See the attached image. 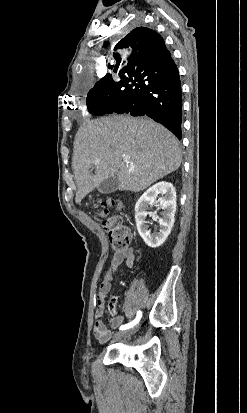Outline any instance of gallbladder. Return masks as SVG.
<instances>
[{
    "label": "gallbladder",
    "mask_w": 247,
    "mask_h": 413,
    "mask_svg": "<svg viewBox=\"0 0 247 413\" xmlns=\"http://www.w3.org/2000/svg\"><path fill=\"white\" fill-rule=\"evenodd\" d=\"M118 178L117 176H108V178H104L100 184L97 186V190L99 192H104V194H108V192H114L118 188Z\"/></svg>",
    "instance_id": "obj_1"
}]
</instances>
